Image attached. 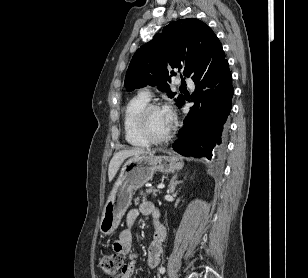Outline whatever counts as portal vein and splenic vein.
I'll return each instance as SVG.
<instances>
[{
	"mask_svg": "<svg viewBox=\"0 0 308 278\" xmlns=\"http://www.w3.org/2000/svg\"><path fill=\"white\" fill-rule=\"evenodd\" d=\"M164 187H165L164 184H160V185L157 186V189L160 190V189H163Z\"/></svg>",
	"mask_w": 308,
	"mask_h": 278,
	"instance_id": "obj_1",
	"label": "portal vein and splenic vein"
}]
</instances>
